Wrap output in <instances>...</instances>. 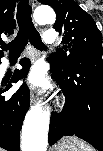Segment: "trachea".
<instances>
[{"label":"trachea","mask_w":103,"mask_h":151,"mask_svg":"<svg viewBox=\"0 0 103 151\" xmlns=\"http://www.w3.org/2000/svg\"><path fill=\"white\" fill-rule=\"evenodd\" d=\"M31 13L32 8L29 5L28 0H21L17 9L19 32L13 41L3 45V49L9 50L10 55L20 54L28 41H30V43L38 50H43L45 48L39 32L34 27Z\"/></svg>","instance_id":"obj_1"}]
</instances>
